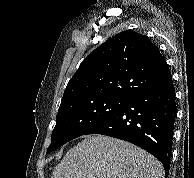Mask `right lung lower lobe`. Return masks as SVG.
I'll list each match as a JSON object with an SVG mask.
<instances>
[{"instance_id": "obj_1", "label": "right lung lower lobe", "mask_w": 194, "mask_h": 178, "mask_svg": "<svg viewBox=\"0 0 194 178\" xmlns=\"http://www.w3.org/2000/svg\"><path fill=\"white\" fill-rule=\"evenodd\" d=\"M173 81L143 90L122 104L87 134L131 142L155 156L168 175L177 114Z\"/></svg>"}]
</instances>
